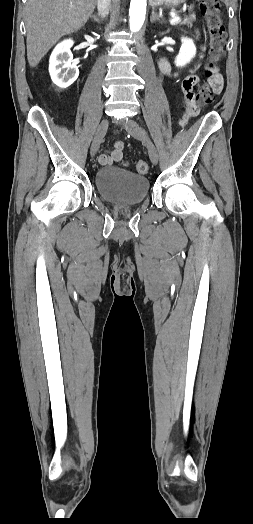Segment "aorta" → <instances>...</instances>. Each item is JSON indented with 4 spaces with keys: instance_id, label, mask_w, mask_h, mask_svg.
<instances>
[{
    "instance_id": "1",
    "label": "aorta",
    "mask_w": 253,
    "mask_h": 524,
    "mask_svg": "<svg viewBox=\"0 0 253 524\" xmlns=\"http://www.w3.org/2000/svg\"><path fill=\"white\" fill-rule=\"evenodd\" d=\"M147 0H131L130 3V29L137 32L141 29L146 15Z\"/></svg>"
}]
</instances>
